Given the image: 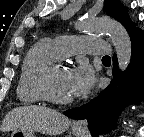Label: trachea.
Masks as SVG:
<instances>
[{
	"label": "trachea",
	"mask_w": 144,
	"mask_h": 137,
	"mask_svg": "<svg viewBox=\"0 0 144 137\" xmlns=\"http://www.w3.org/2000/svg\"><path fill=\"white\" fill-rule=\"evenodd\" d=\"M102 60H111V59H110V57L107 55V56H104V57L102 58Z\"/></svg>",
	"instance_id": "obj_1"
}]
</instances>
